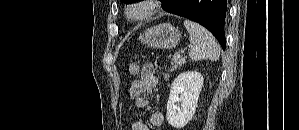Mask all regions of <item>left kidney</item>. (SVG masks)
Listing matches in <instances>:
<instances>
[{"label": "left kidney", "mask_w": 299, "mask_h": 130, "mask_svg": "<svg viewBox=\"0 0 299 130\" xmlns=\"http://www.w3.org/2000/svg\"><path fill=\"white\" fill-rule=\"evenodd\" d=\"M202 86L203 76L196 71L183 72L173 81L166 114L172 127L183 128L192 119Z\"/></svg>", "instance_id": "left-kidney-1"}]
</instances>
